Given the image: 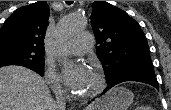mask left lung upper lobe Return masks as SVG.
Here are the masks:
<instances>
[{"mask_svg": "<svg viewBox=\"0 0 171 110\" xmlns=\"http://www.w3.org/2000/svg\"><path fill=\"white\" fill-rule=\"evenodd\" d=\"M92 8L91 24L99 44L96 51L107 83L133 74L154 76L147 39L140 25L106 1H95Z\"/></svg>", "mask_w": 171, "mask_h": 110, "instance_id": "5c2ea615", "label": "left lung upper lobe"}]
</instances>
